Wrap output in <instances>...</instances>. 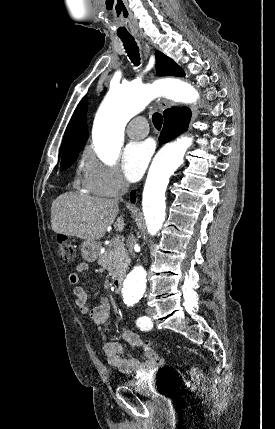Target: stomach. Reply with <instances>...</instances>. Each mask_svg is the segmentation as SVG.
I'll return each instance as SVG.
<instances>
[{
	"label": "stomach",
	"instance_id": "1",
	"mask_svg": "<svg viewBox=\"0 0 275 429\" xmlns=\"http://www.w3.org/2000/svg\"><path fill=\"white\" fill-rule=\"evenodd\" d=\"M100 244L96 241L85 240L81 245L83 258L88 262H94L99 255Z\"/></svg>",
	"mask_w": 275,
	"mask_h": 429
}]
</instances>
